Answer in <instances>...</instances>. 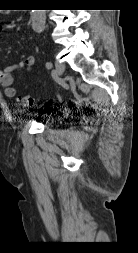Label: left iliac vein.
I'll return each instance as SVG.
<instances>
[{
    "label": "left iliac vein",
    "mask_w": 138,
    "mask_h": 253,
    "mask_svg": "<svg viewBox=\"0 0 138 253\" xmlns=\"http://www.w3.org/2000/svg\"><path fill=\"white\" fill-rule=\"evenodd\" d=\"M65 70V65L59 61L55 62V72L58 76H62Z\"/></svg>",
    "instance_id": "1"
}]
</instances>
